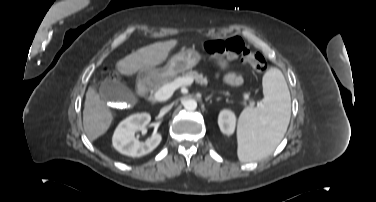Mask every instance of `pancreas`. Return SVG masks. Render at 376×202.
I'll list each match as a JSON object with an SVG mask.
<instances>
[{
	"label": "pancreas",
	"instance_id": "cf45deb5",
	"mask_svg": "<svg viewBox=\"0 0 376 202\" xmlns=\"http://www.w3.org/2000/svg\"><path fill=\"white\" fill-rule=\"evenodd\" d=\"M178 78H191L200 85L206 86L208 84V80L206 77H203L202 74H199L197 71H186L183 72L181 76L176 77V78H169V77H161L160 79L156 80L150 85V93L153 95L158 89H160L162 86L169 84L173 82L174 80ZM225 95H229L228 92L225 93ZM244 105L247 106L248 108H253L255 105L254 100H249V104H246V98L244 99Z\"/></svg>",
	"mask_w": 376,
	"mask_h": 202
}]
</instances>
